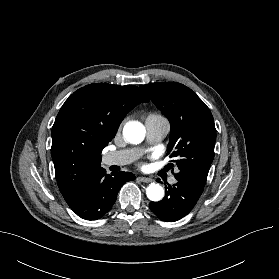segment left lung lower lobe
I'll list each match as a JSON object with an SVG mask.
<instances>
[{
    "label": "left lung lower lobe",
    "mask_w": 279,
    "mask_h": 279,
    "mask_svg": "<svg viewBox=\"0 0 279 279\" xmlns=\"http://www.w3.org/2000/svg\"><path fill=\"white\" fill-rule=\"evenodd\" d=\"M165 190V197L159 202H150L149 208L159 219L167 222L186 216L203 192V189L181 181L165 187Z\"/></svg>",
    "instance_id": "left-lung-lower-lobe-1"
}]
</instances>
